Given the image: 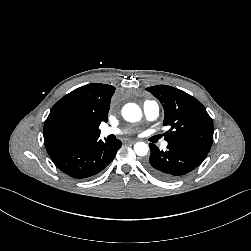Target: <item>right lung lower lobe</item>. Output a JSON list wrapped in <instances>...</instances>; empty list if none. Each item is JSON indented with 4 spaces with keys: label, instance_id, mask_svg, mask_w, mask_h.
Listing matches in <instances>:
<instances>
[{
    "label": "right lung lower lobe",
    "instance_id": "98d812e1",
    "mask_svg": "<svg viewBox=\"0 0 251 251\" xmlns=\"http://www.w3.org/2000/svg\"><path fill=\"white\" fill-rule=\"evenodd\" d=\"M121 146L119 140L103 142L99 137L87 138L63 143L49 155L62 172L82 179L102 171Z\"/></svg>",
    "mask_w": 251,
    "mask_h": 251
}]
</instances>
